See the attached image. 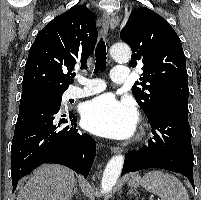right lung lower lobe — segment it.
Masks as SVG:
<instances>
[{
    "label": "right lung lower lobe",
    "mask_w": 201,
    "mask_h": 200,
    "mask_svg": "<svg viewBox=\"0 0 201 200\" xmlns=\"http://www.w3.org/2000/svg\"><path fill=\"white\" fill-rule=\"evenodd\" d=\"M59 106L19 109L11 146L13 192L18 181L44 163H56L87 177L95 158V141L80 132L72 113L57 116ZM71 122V126H61Z\"/></svg>",
    "instance_id": "obj_1"
}]
</instances>
